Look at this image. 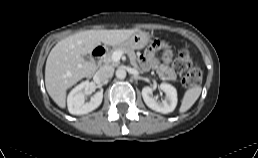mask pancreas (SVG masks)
Masks as SVG:
<instances>
[{
	"mask_svg": "<svg viewBox=\"0 0 258 158\" xmlns=\"http://www.w3.org/2000/svg\"><path fill=\"white\" fill-rule=\"evenodd\" d=\"M116 51H122L124 53H126L132 63L133 66H135L136 68H138L137 64H136V54L134 52L133 49L131 48H127V47H114L112 50H110L109 52H107L103 58V62L106 65H112V66H117L119 64V62L114 61L112 59V55L114 52Z\"/></svg>",
	"mask_w": 258,
	"mask_h": 158,
	"instance_id": "cf45deb5",
	"label": "pancreas"
}]
</instances>
